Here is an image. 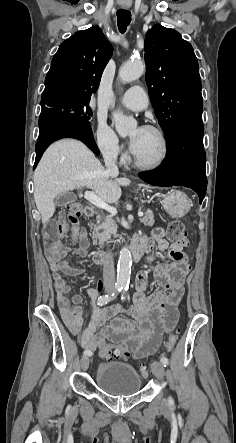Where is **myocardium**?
<instances>
[{
    "label": "myocardium",
    "mask_w": 236,
    "mask_h": 443,
    "mask_svg": "<svg viewBox=\"0 0 236 443\" xmlns=\"http://www.w3.org/2000/svg\"><path fill=\"white\" fill-rule=\"evenodd\" d=\"M145 128L155 133L158 137L161 145L160 155L155 161L146 162L141 160L139 157L136 156L135 153H133V161L134 165L141 170L154 171L159 169L166 162L169 155V143L165 133L160 128L154 125H147Z\"/></svg>",
    "instance_id": "obj_1"
}]
</instances>
